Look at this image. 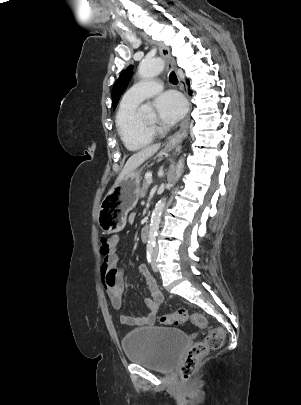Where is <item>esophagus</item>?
I'll return each mask as SVG.
<instances>
[{
    "instance_id": "34e87169",
    "label": "esophagus",
    "mask_w": 301,
    "mask_h": 405,
    "mask_svg": "<svg viewBox=\"0 0 301 405\" xmlns=\"http://www.w3.org/2000/svg\"><path fill=\"white\" fill-rule=\"evenodd\" d=\"M143 37L148 41H152L146 34H143ZM158 47L161 56L166 62L167 68L169 70L176 71V63L174 58L170 54L169 48L165 46L162 42L158 43ZM182 89L184 94L187 96V90L183 85ZM188 128H189V114H187V116L181 123L180 129L168 138V140L166 141V146L172 148L181 143L188 133Z\"/></svg>"
}]
</instances>
